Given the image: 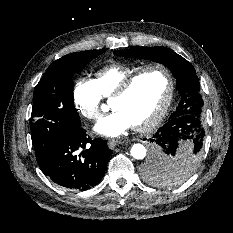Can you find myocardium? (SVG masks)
Returning a JSON list of instances; mask_svg holds the SVG:
<instances>
[{"instance_id": "obj_1", "label": "myocardium", "mask_w": 233, "mask_h": 233, "mask_svg": "<svg viewBox=\"0 0 233 233\" xmlns=\"http://www.w3.org/2000/svg\"><path fill=\"white\" fill-rule=\"evenodd\" d=\"M153 69H158V70H161L165 73V75L167 77V81H168L167 93H166V97L164 99L163 104L161 105L159 110L156 112V114L150 120H148L147 122H145L143 124L133 126V129L135 131H138V132L150 131L151 129L156 127L161 122V120L164 118V116L166 115V113H167V111L172 103L173 96H174V88H175L174 79H173V76H172L170 70L162 64H149V65L143 66L138 71H136L135 73H133L132 75L127 77L121 83V85L118 87V89L114 92V94L111 96V101L124 97L128 93V91L130 90V88L133 86L135 81L141 75H143L145 72H147L149 70H153Z\"/></svg>"}]
</instances>
